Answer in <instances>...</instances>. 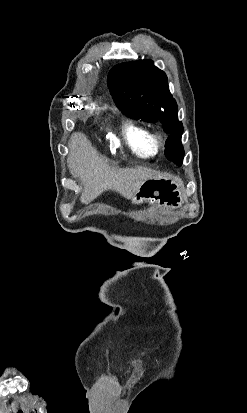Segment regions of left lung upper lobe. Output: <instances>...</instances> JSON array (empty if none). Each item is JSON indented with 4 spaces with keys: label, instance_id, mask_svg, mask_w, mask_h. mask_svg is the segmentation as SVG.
<instances>
[{
    "label": "left lung upper lobe",
    "instance_id": "left-lung-upper-lobe-1",
    "mask_svg": "<svg viewBox=\"0 0 247 413\" xmlns=\"http://www.w3.org/2000/svg\"><path fill=\"white\" fill-rule=\"evenodd\" d=\"M108 86L114 102L126 114L163 124V130L170 134L165 156L180 165L184 157V128L178 120L177 104L169 91L166 74L150 60L122 63L109 72Z\"/></svg>",
    "mask_w": 247,
    "mask_h": 413
}]
</instances>
